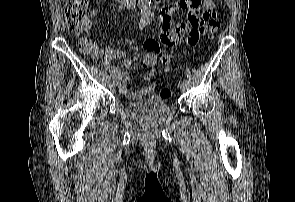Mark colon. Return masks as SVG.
<instances>
[{
    "instance_id": "obj_1",
    "label": "colon",
    "mask_w": 295,
    "mask_h": 202,
    "mask_svg": "<svg viewBox=\"0 0 295 202\" xmlns=\"http://www.w3.org/2000/svg\"><path fill=\"white\" fill-rule=\"evenodd\" d=\"M64 13L66 25L69 31L75 34H82L89 28V20L87 19V0H66L64 5ZM219 27V20L216 13H213L209 22L208 30L211 34L215 33ZM155 43V42H153ZM80 48L83 51H90L91 46L85 40H81ZM143 68H146L147 75H156V68L158 65L157 52H146V56H142ZM158 86L157 82H149L145 85V90H155ZM171 96V90L169 88H163L160 91V97L168 99Z\"/></svg>"
}]
</instances>
